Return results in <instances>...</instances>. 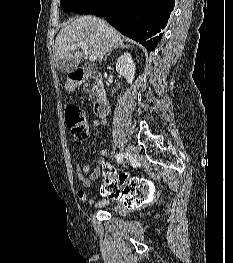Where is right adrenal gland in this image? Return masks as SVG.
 Masks as SVG:
<instances>
[{
  "instance_id": "right-adrenal-gland-1",
  "label": "right adrenal gland",
  "mask_w": 233,
  "mask_h": 263,
  "mask_svg": "<svg viewBox=\"0 0 233 263\" xmlns=\"http://www.w3.org/2000/svg\"><path fill=\"white\" fill-rule=\"evenodd\" d=\"M118 48H128L127 45L123 43V41L119 42L118 44L114 45L105 55L104 62L107 60L108 56L111 55L112 51Z\"/></svg>"
}]
</instances>
